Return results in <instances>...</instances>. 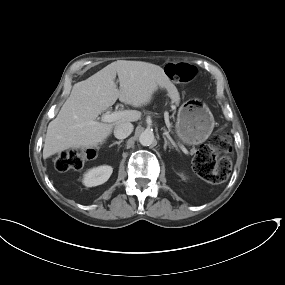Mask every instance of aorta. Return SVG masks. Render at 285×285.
<instances>
[{"label": "aorta", "instance_id": "aorta-1", "mask_svg": "<svg viewBox=\"0 0 285 285\" xmlns=\"http://www.w3.org/2000/svg\"><path fill=\"white\" fill-rule=\"evenodd\" d=\"M139 142L143 146H150L155 142L154 133L150 130L143 131L139 136Z\"/></svg>", "mask_w": 285, "mask_h": 285}]
</instances>
